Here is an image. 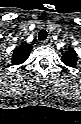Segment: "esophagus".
<instances>
[{
	"label": "esophagus",
	"mask_w": 81,
	"mask_h": 124,
	"mask_svg": "<svg viewBox=\"0 0 81 124\" xmlns=\"http://www.w3.org/2000/svg\"><path fill=\"white\" fill-rule=\"evenodd\" d=\"M42 45L50 46L52 44V39L49 37L41 42Z\"/></svg>",
	"instance_id": "1"
}]
</instances>
